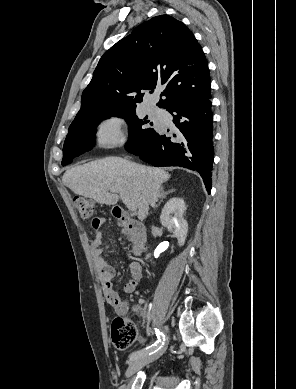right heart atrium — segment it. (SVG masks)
Segmentation results:
<instances>
[{
  "label": "right heart atrium",
  "mask_w": 296,
  "mask_h": 389,
  "mask_svg": "<svg viewBox=\"0 0 296 389\" xmlns=\"http://www.w3.org/2000/svg\"><path fill=\"white\" fill-rule=\"evenodd\" d=\"M123 121L118 116L103 119L95 129V141L99 145L110 146L124 141Z\"/></svg>",
  "instance_id": "right-heart-atrium-1"
}]
</instances>
